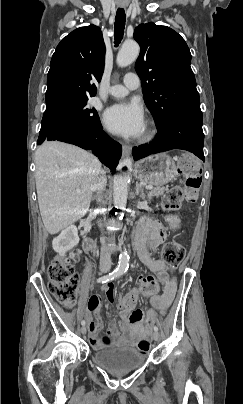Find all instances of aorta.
<instances>
[{
	"label": "aorta",
	"mask_w": 243,
	"mask_h": 404,
	"mask_svg": "<svg viewBox=\"0 0 243 404\" xmlns=\"http://www.w3.org/2000/svg\"><path fill=\"white\" fill-rule=\"evenodd\" d=\"M140 48L137 42L128 40L122 44L116 58L119 68H126L133 64L139 56ZM132 166L131 158L120 161L118 166L115 167V175L113 180V198L116 211V217L123 219L125 217V209L128 198V183L130 182V168ZM128 266V256L123 254L119 258L118 272L123 270L125 272Z\"/></svg>",
	"instance_id": "obj_1"
}]
</instances>
